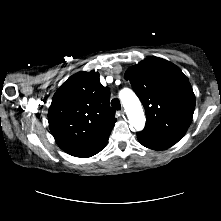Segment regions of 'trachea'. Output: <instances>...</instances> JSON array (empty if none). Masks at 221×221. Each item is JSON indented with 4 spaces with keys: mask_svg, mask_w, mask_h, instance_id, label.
I'll use <instances>...</instances> for the list:
<instances>
[{
    "mask_svg": "<svg viewBox=\"0 0 221 221\" xmlns=\"http://www.w3.org/2000/svg\"><path fill=\"white\" fill-rule=\"evenodd\" d=\"M111 105L114 109L116 110H120L121 109V104H120V101L119 99L117 98H114L112 101H111Z\"/></svg>",
    "mask_w": 221,
    "mask_h": 221,
    "instance_id": "obj_1",
    "label": "trachea"
}]
</instances>
